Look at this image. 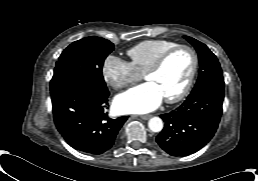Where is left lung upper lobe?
I'll list each match as a JSON object with an SVG mask.
<instances>
[{
	"label": "left lung upper lobe",
	"instance_id": "5c2ea615",
	"mask_svg": "<svg viewBox=\"0 0 258 181\" xmlns=\"http://www.w3.org/2000/svg\"><path fill=\"white\" fill-rule=\"evenodd\" d=\"M184 38L195 47L200 62L199 77L189 96L196 95L211 87L224 88L223 74L216 56L205 44L188 36H184Z\"/></svg>",
	"mask_w": 258,
	"mask_h": 181
}]
</instances>
